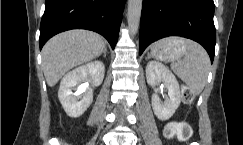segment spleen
I'll return each mask as SVG.
<instances>
[{"instance_id": "spleen-1", "label": "spleen", "mask_w": 243, "mask_h": 145, "mask_svg": "<svg viewBox=\"0 0 243 145\" xmlns=\"http://www.w3.org/2000/svg\"><path fill=\"white\" fill-rule=\"evenodd\" d=\"M175 43H184L186 52L182 60L172 63L173 72L198 95L207 81L210 59L205 49L194 41L176 38Z\"/></svg>"}]
</instances>
